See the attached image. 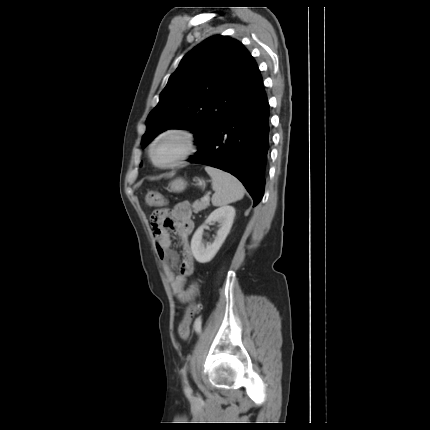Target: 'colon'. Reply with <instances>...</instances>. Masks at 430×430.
<instances>
[{"label":"colon","mask_w":430,"mask_h":430,"mask_svg":"<svg viewBox=\"0 0 430 430\" xmlns=\"http://www.w3.org/2000/svg\"><path fill=\"white\" fill-rule=\"evenodd\" d=\"M146 203L148 206L154 207H164L166 205V199L165 197L158 192H149L146 195ZM157 211H164V209H160ZM199 307L197 304H192L190 305L185 313V316L182 320V325H181V329H180V336L183 339H188L190 337V333H191V323H192V319L194 317V315L198 312ZM199 328L198 325H195V329L197 330Z\"/></svg>","instance_id":"colon-1"}]
</instances>
